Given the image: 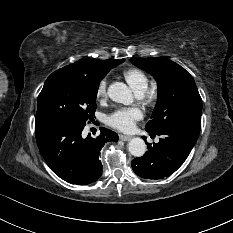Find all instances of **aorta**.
<instances>
[{
    "label": "aorta",
    "mask_w": 233,
    "mask_h": 233,
    "mask_svg": "<svg viewBox=\"0 0 233 233\" xmlns=\"http://www.w3.org/2000/svg\"><path fill=\"white\" fill-rule=\"evenodd\" d=\"M108 96L111 100L129 105L133 102V95L128 86L122 82H115L108 88ZM128 150L134 157H142L146 150L145 141L142 138H132L128 143Z\"/></svg>",
    "instance_id": "aorta-1"
}]
</instances>
